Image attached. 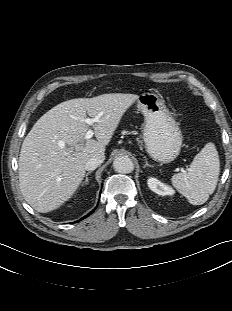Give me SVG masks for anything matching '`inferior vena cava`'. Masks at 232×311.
Segmentation results:
<instances>
[{"label": "inferior vena cava", "mask_w": 232, "mask_h": 311, "mask_svg": "<svg viewBox=\"0 0 232 311\" xmlns=\"http://www.w3.org/2000/svg\"><path fill=\"white\" fill-rule=\"evenodd\" d=\"M104 158L101 156H94L88 159L85 163V170L93 171L95 170L101 163H103Z\"/></svg>", "instance_id": "obj_1"}]
</instances>
